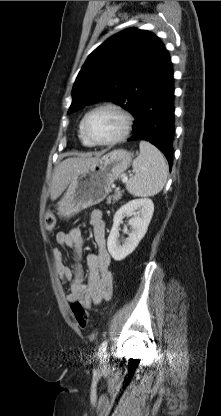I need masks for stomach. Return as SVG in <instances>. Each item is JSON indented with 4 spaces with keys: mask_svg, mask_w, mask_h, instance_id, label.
<instances>
[{
    "mask_svg": "<svg viewBox=\"0 0 221 416\" xmlns=\"http://www.w3.org/2000/svg\"><path fill=\"white\" fill-rule=\"evenodd\" d=\"M132 155L124 149L113 150L78 173L58 202L61 217H71L103 201L112 183L130 166Z\"/></svg>",
    "mask_w": 221,
    "mask_h": 416,
    "instance_id": "stomach-1",
    "label": "stomach"
}]
</instances>
